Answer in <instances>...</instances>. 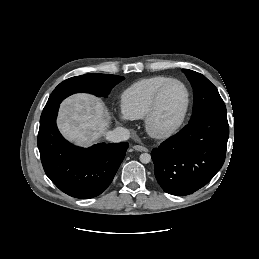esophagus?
Listing matches in <instances>:
<instances>
[{"label":"esophagus","mask_w":259,"mask_h":259,"mask_svg":"<svg viewBox=\"0 0 259 259\" xmlns=\"http://www.w3.org/2000/svg\"><path fill=\"white\" fill-rule=\"evenodd\" d=\"M133 149L137 150V151H140V152H147L148 149L142 145H134L133 146Z\"/></svg>","instance_id":"1"}]
</instances>
